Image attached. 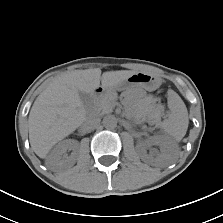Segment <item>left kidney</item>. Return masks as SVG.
Wrapping results in <instances>:
<instances>
[{"mask_svg":"<svg viewBox=\"0 0 223 223\" xmlns=\"http://www.w3.org/2000/svg\"><path fill=\"white\" fill-rule=\"evenodd\" d=\"M151 143L160 148V152L154 150L147 153V144L141 142L137 145L142 161L156 165V166H169L173 164L178 157V147L169 138L163 136H154L151 138Z\"/></svg>","mask_w":223,"mask_h":223,"instance_id":"left-kidney-1","label":"left kidney"}]
</instances>
